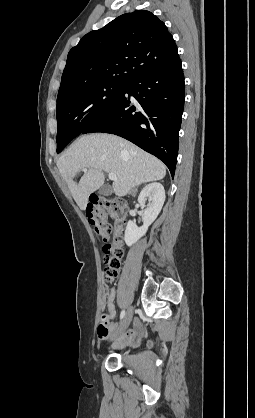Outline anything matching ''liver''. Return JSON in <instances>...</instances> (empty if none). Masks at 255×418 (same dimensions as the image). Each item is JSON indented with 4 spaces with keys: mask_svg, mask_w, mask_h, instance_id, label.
<instances>
[{
    "mask_svg": "<svg viewBox=\"0 0 255 418\" xmlns=\"http://www.w3.org/2000/svg\"><path fill=\"white\" fill-rule=\"evenodd\" d=\"M57 167L81 210L86 209L89 195L103 186L104 172L116 175L113 190L119 197L166 175L159 159L121 137L103 133L79 137L59 158ZM83 168L87 171L76 183L74 178Z\"/></svg>",
    "mask_w": 255,
    "mask_h": 418,
    "instance_id": "obj_1",
    "label": "liver"
}]
</instances>
